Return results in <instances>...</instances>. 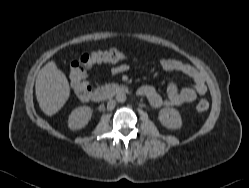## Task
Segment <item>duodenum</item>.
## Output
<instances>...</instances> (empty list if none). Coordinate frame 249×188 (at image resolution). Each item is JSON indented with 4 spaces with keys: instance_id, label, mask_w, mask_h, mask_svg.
Wrapping results in <instances>:
<instances>
[{
    "instance_id": "duodenum-1",
    "label": "duodenum",
    "mask_w": 249,
    "mask_h": 188,
    "mask_svg": "<svg viewBox=\"0 0 249 188\" xmlns=\"http://www.w3.org/2000/svg\"><path fill=\"white\" fill-rule=\"evenodd\" d=\"M126 90V87L122 85L101 86L93 90V92L90 94V99L94 102H101L124 93Z\"/></svg>"
}]
</instances>
